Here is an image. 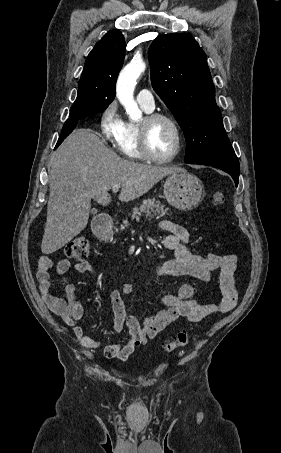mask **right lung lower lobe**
<instances>
[{
  "label": "right lung lower lobe",
  "instance_id": "1",
  "mask_svg": "<svg viewBox=\"0 0 281 453\" xmlns=\"http://www.w3.org/2000/svg\"><path fill=\"white\" fill-rule=\"evenodd\" d=\"M100 111L93 110L90 106L76 107L70 109V115L67 121L65 122L61 135L58 139V142L55 146V149L63 142V140L74 130L77 125V122L85 117L98 113Z\"/></svg>",
  "mask_w": 281,
  "mask_h": 453
}]
</instances>
